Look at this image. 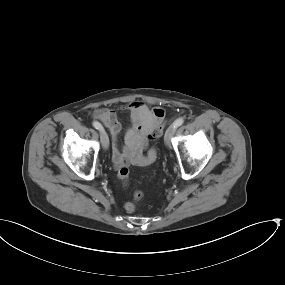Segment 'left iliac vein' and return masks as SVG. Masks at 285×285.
<instances>
[{"mask_svg":"<svg viewBox=\"0 0 285 285\" xmlns=\"http://www.w3.org/2000/svg\"><path fill=\"white\" fill-rule=\"evenodd\" d=\"M176 131V127L174 125H171L166 133H165V137H164V141H165V144L167 146H170V142H171V138L173 137L174 133Z\"/></svg>","mask_w":285,"mask_h":285,"instance_id":"4c4485c4","label":"left iliac vein"}]
</instances>
